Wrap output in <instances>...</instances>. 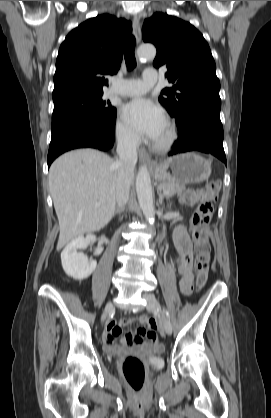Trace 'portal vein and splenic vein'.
<instances>
[{
	"label": "portal vein and splenic vein",
	"instance_id": "portal-vein-and-splenic-vein-1",
	"mask_svg": "<svg viewBox=\"0 0 271 418\" xmlns=\"http://www.w3.org/2000/svg\"><path fill=\"white\" fill-rule=\"evenodd\" d=\"M169 192L167 190L163 191V195H167ZM100 203H96V206H99Z\"/></svg>",
	"mask_w": 271,
	"mask_h": 418
}]
</instances>
